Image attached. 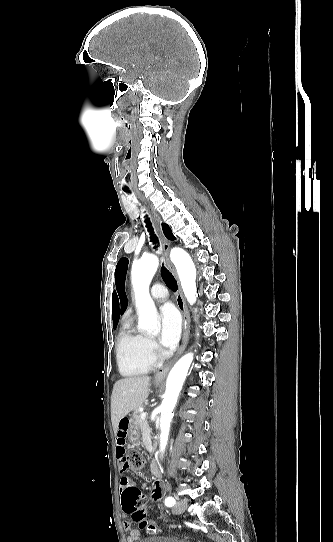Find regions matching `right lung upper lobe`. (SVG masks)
Listing matches in <instances>:
<instances>
[{"label": "right lung upper lobe", "instance_id": "right-lung-upper-lobe-1", "mask_svg": "<svg viewBox=\"0 0 333 542\" xmlns=\"http://www.w3.org/2000/svg\"><path fill=\"white\" fill-rule=\"evenodd\" d=\"M112 315H113V326H117L119 321V303L116 293H113V302H112Z\"/></svg>", "mask_w": 333, "mask_h": 542}]
</instances>
